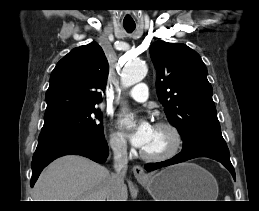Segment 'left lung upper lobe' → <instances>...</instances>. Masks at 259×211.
I'll list each match as a JSON object with an SVG mask.
<instances>
[{
  "label": "left lung upper lobe",
  "mask_w": 259,
  "mask_h": 211,
  "mask_svg": "<svg viewBox=\"0 0 259 211\" xmlns=\"http://www.w3.org/2000/svg\"><path fill=\"white\" fill-rule=\"evenodd\" d=\"M150 56L157 70L158 99L183 138L182 151L207 141L226 144L199 54L185 44L157 41Z\"/></svg>",
  "instance_id": "1"
}]
</instances>
